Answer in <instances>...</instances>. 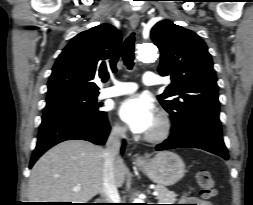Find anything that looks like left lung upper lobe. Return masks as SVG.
<instances>
[{
  "label": "left lung upper lobe",
  "instance_id": "obj_1",
  "mask_svg": "<svg viewBox=\"0 0 253 205\" xmlns=\"http://www.w3.org/2000/svg\"><path fill=\"white\" fill-rule=\"evenodd\" d=\"M151 38L161 51L159 73L171 76L172 83L158 99L173 126L185 128L203 115L219 118L217 78L205 42L168 20L152 28Z\"/></svg>",
  "mask_w": 253,
  "mask_h": 205
}]
</instances>
